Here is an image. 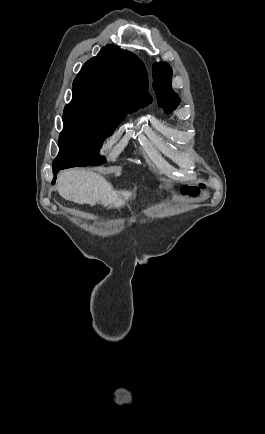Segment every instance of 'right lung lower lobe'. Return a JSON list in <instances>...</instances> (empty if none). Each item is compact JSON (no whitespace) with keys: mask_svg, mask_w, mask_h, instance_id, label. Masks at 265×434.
<instances>
[{"mask_svg":"<svg viewBox=\"0 0 265 434\" xmlns=\"http://www.w3.org/2000/svg\"><path fill=\"white\" fill-rule=\"evenodd\" d=\"M65 169L63 167L53 168V174L56 175L60 170ZM56 177H54L52 184L55 183Z\"/></svg>","mask_w":265,"mask_h":434,"instance_id":"obj_1","label":"right lung lower lobe"}]
</instances>
